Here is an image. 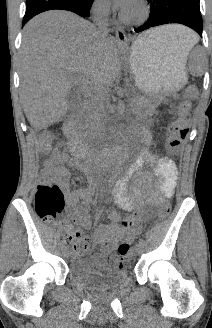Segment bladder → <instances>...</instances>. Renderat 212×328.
I'll return each mask as SVG.
<instances>
[{"mask_svg":"<svg viewBox=\"0 0 212 328\" xmlns=\"http://www.w3.org/2000/svg\"><path fill=\"white\" fill-rule=\"evenodd\" d=\"M71 274L85 288L93 291H108L123 285L128 273L113 270L108 273H97L89 268V261L83 257H74L70 265Z\"/></svg>","mask_w":212,"mask_h":328,"instance_id":"bladder-1","label":"bladder"}]
</instances>
